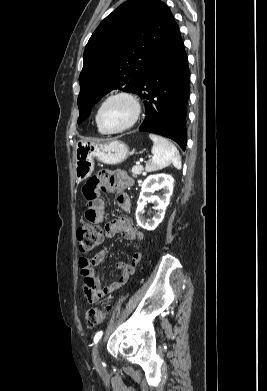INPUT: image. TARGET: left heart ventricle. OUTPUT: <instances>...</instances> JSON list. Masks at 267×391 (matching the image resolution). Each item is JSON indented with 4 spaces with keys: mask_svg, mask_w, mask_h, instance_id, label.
I'll return each instance as SVG.
<instances>
[{
    "mask_svg": "<svg viewBox=\"0 0 267 391\" xmlns=\"http://www.w3.org/2000/svg\"><path fill=\"white\" fill-rule=\"evenodd\" d=\"M132 114L131 104L124 98H116L103 107L100 119L105 128L113 130L125 126Z\"/></svg>",
    "mask_w": 267,
    "mask_h": 391,
    "instance_id": "1",
    "label": "left heart ventricle"
}]
</instances>
